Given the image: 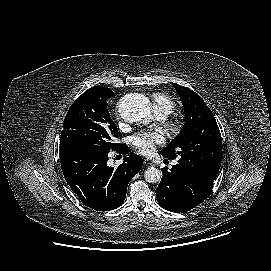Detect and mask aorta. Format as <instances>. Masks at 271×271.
Returning a JSON list of instances; mask_svg holds the SVG:
<instances>
[{
  "mask_svg": "<svg viewBox=\"0 0 271 271\" xmlns=\"http://www.w3.org/2000/svg\"><path fill=\"white\" fill-rule=\"evenodd\" d=\"M122 117L131 123L147 120L150 115V102L142 94H129L122 101ZM162 173L156 167H149L144 172L148 183H157L161 180Z\"/></svg>",
  "mask_w": 271,
  "mask_h": 271,
  "instance_id": "1",
  "label": "aorta"
}]
</instances>
